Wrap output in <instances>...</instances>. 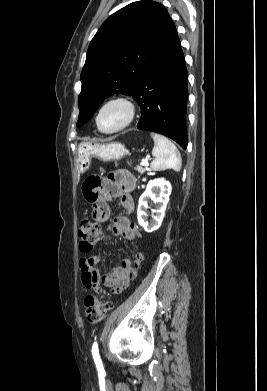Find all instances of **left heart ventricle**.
Returning <instances> with one entry per match:
<instances>
[{
	"instance_id": "left-heart-ventricle-1",
	"label": "left heart ventricle",
	"mask_w": 267,
	"mask_h": 391,
	"mask_svg": "<svg viewBox=\"0 0 267 391\" xmlns=\"http://www.w3.org/2000/svg\"><path fill=\"white\" fill-rule=\"evenodd\" d=\"M125 118V108L120 104H112L102 111L99 123L103 130L110 131L120 127Z\"/></svg>"
}]
</instances>
